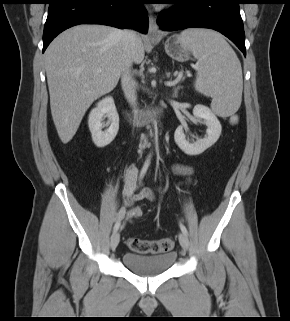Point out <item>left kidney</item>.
I'll list each match as a JSON object with an SVG mask.
<instances>
[{
	"label": "left kidney",
	"instance_id": "obj_1",
	"mask_svg": "<svg viewBox=\"0 0 290 321\" xmlns=\"http://www.w3.org/2000/svg\"><path fill=\"white\" fill-rule=\"evenodd\" d=\"M193 115L199 120H204L207 125V135L195 143H190L184 134V126H179L175 131L174 139L178 147L186 154L199 155L219 139L222 127L216 115L204 105H196Z\"/></svg>",
	"mask_w": 290,
	"mask_h": 321
}]
</instances>
